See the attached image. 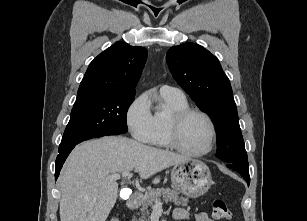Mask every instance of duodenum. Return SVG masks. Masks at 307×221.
I'll return each instance as SVG.
<instances>
[{
	"instance_id": "1",
	"label": "duodenum",
	"mask_w": 307,
	"mask_h": 221,
	"mask_svg": "<svg viewBox=\"0 0 307 221\" xmlns=\"http://www.w3.org/2000/svg\"><path fill=\"white\" fill-rule=\"evenodd\" d=\"M141 201V195L135 194L127 200V207L131 210L138 208V205Z\"/></svg>"
}]
</instances>
